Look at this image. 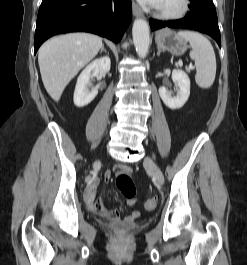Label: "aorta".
I'll use <instances>...</instances> for the list:
<instances>
[{"instance_id":"1","label":"aorta","mask_w":247,"mask_h":265,"mask_svg":"<svg viewBox=\"0 0 247 265\" xmlns=\"http://www.w3.org/2000/svg\"><path fill=\"white\" fill-rule=\"evenodd\" d=\"M133 42L139 57L147 55L150 43L149 25L144 19H136L132 28Z\"/></svg>"}]
</instances>
